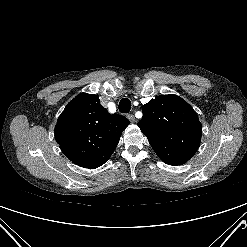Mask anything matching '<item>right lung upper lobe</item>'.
Segmentation results:
<instances>
[{"instance_id":"1","label":"right lung upper lobe","mask_w":247,"mask_h":247,"mask_svg":"<svg viewBox=\"0 0 247 247\" xmlns=\"http://www.w3.org/2000/svg\"><path fill=\"white\" fill-rule=\"evenodd\" d=\"M129 123L122 115L109 114L96 95L80 93L59 116L55 138L69 160L95 169L108 161Z\"/></svg>"}]
</instances>
